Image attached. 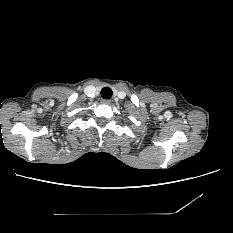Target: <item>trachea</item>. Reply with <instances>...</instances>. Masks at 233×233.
Returning <instances> with one entry per match:
<instances>
[{
    "label": "trachea",
    "mask_w": 233,
    "mask_h": 233,
    "mask_svg": "<svg viewBox=\"0 0 233 233\" xmlns=\"http://www.w3.org/2000/svg\"><path fill=\"white\" fill-rule=\"evenodd\" d=\"M113 95L112 89L109 87H104L101 90V97L103 99H110Z\"/></svg>",
    "instance_id": "1"
}]
</instances>
